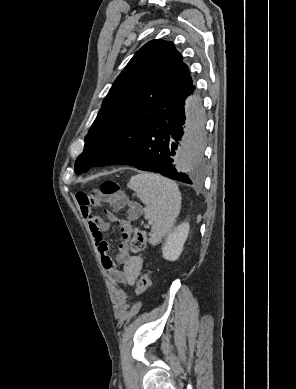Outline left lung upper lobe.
<instances>
[{"label": "left lung upper lobe", "mask_w": 296, "mask_h": 389, "mask_svg": "<svg viewBox=\"0 0 296 389\" xmlns=\"http://www.w3.org/2000/svg\"><path fill=\"white\" fill-rule=\"evenodd\" d=\"M188 68L172 42L154 39L138 50L117 77L85 138L75 163L76 174L99 166L96 148L109 131L142 104H148L160 85Z\"/></svg>", "instance_id": "obj_1"}]
</instances>
